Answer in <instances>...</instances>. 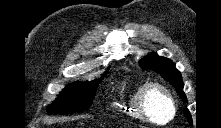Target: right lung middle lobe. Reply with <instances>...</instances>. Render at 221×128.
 I'll return each instance as SVG.
<instances>
[{
	"label": "right lung middle lobe",
	"instance_id": "dd1d6c3e",
	"mask_svg": "<svg viewBox=\"0 0 221 128\" xmlns=\"http://www.w3.org/2000/svg\"><path fill=\"white\" fill-rule=\"evenodd\" d=\"M101 82H75L61 92L57 100L47 107L48 113L65 114L87 110L95 97L96 88Z\"/></svg>",
	"mask_w": 221,
	"mask_h": 128
}]
</instances>
